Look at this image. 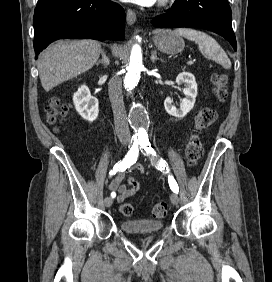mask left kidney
<instances>
[{
    "mask_svg": "<svg viewBox=\"0 0 272 282\" xmlns=\"http://www.w3.org/2000/svg\"><path fill=\"white\" fill-rule=\"evenodd\" d=\"M178 85H184L183 93L185 98L180 103V108H176L172 103L171 97H167L164 101V107L166 112L176 118H183L189 113L195 104L197 96V83L194 75L189 72H182L176 78Z\"/></svg>",
    "mask_w": 272,
    "mask_h": 282,
    "instance_id": "obj_1",
    "label": "left kidney"
}]
</instances>
